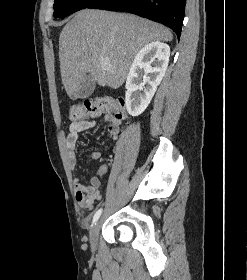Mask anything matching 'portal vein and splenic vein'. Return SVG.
<instances>
[{
    "mask_svg": "<svg viewBox=\"0 0 247 280\" xmlns=\"http://www.w3.org/2000/svg\"><path fill=\"white\" fill-rule=\"evenodd\" d=\"M100 65L103 66V67H104V66H107V65H108V59H106V58L101 59V60H100Z\"/></svg>",
    "mask_w": 247,
    "mask_h": 280,
    "instance_id": "obj_1",
    "label": "portal vein and splenic vein"
}]
</instances>
